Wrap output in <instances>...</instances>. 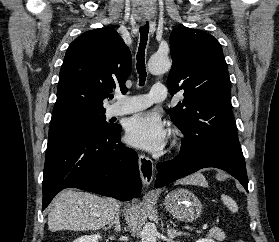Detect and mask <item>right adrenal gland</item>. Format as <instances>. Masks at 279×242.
I'll list each match as a JSON object with an SVG mask.
<instances>
[{
    "instance_id": "obj_1",
    "label": "right adrenal gland",
    "mask_w": 279,
    "mask_h": 242,
    "mask_svg": "<svg viewBox=\"0 0 279 242\" xmlns=\"http://www.w3.org/2000/svg\"><path fill=\"white\" fill-rule=\"evenodd\" d=\"M113 225H115V231L120 232L121 226H120V214L117 213L114 220L111 221L107 227L104 228V230L110 229Z\"/></svg>"
}]
</instances>
